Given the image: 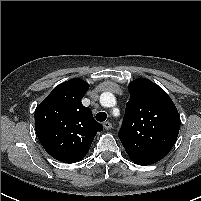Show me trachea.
I'll return each instance as SVG.
<instances>
[{
  "label": "trachea",
  "mask_w": 201,
  "mask_h": 201,
  "mask_svg": "<svg viewBox=\"0 0 201 201\" xmlns=\"http://www.w3.org/2000/svg\"><path fill=\"white\" fill-rule=\"evenodd\" d=\"M107 118V114L105 112H99L96 114V120L99 122L105 121Z\"/></svg>",
  "instance_id": "3493384b"
}]
</instances>
